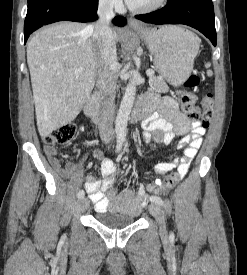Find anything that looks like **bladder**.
Here are the masks:
<instances>
[{
	"label": "bladder",
	"instance_id": "31cf9c89",
	"mask_svg": "<svg viewBox=\"0 0 247 275\" xmlns=\"http://www.w3.org/2000/svg\"><path fill=\"white\" fill-rule=\"evenodd\" d=\"M96 221L106 228L120 229L135 224L137 217L129 213L105 210L98 212Z\"/></svg>",
	"mask_w": 247,
	"mask_h": 275
}]
</instances>
